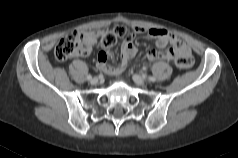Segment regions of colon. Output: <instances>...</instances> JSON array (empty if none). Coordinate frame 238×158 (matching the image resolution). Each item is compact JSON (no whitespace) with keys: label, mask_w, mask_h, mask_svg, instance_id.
<instances>
[{"label":"colon","mask_w":238,"mask_h":158,"mask_svg":"<svg viewBox=\"0 0 238 158\" xmlns=\"http://www.w3.org/2000/svg\"><path fill=\"white\" fill-rule=\"evenodd\" d=\"M125 28L117 26L105 28L94 32L97 45L100 47H110L118 37L125 35ZM86 53L85 37L81 32L73 31L65 35L55 46L54 56L58 61H65L69 58L84 55ZM193 60L190 57L178 56L175 59L176 66L181 70H186L192 66Z\"/></svg>","instance_id":"obj_1"}]
</instances>
